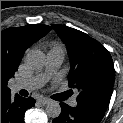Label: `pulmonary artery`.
<instances>
[{"label": "pulmonary artery", "instance_id": "1", "mask_svg": "<svg viewBox=\"0 0 123 123\" xmlns=\"http://www.w3.org/2000/svg\"><path fill=\"white\" fill-rule=\"evenodd\" d=\"M65 58V49L62 46L52 47L47 56V64L45 71L39 74H36L27 79L19 80L13 85V90L18 91L21 89L34 90L42 87L49 77L54 74L57 69L61 66ZM70 105L75 107L77 102L75 99L70 101Z\"/></svg>", "mask_w": 123, "mask_h": 123}]
</instances>
